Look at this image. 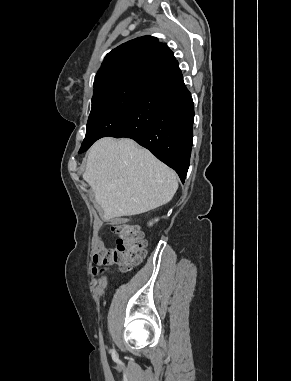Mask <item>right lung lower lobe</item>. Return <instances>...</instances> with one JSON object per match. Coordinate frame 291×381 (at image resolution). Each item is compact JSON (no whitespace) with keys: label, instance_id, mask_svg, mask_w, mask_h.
<instances>
[{"label":"right lung lower lobe","instance_id":"1","mask_svg":"<svg viewBox=\"0 0 291 381\" xmlns=\"http://www.w3.org/2000/svg\"><path fill=\"white\" fill-rule=\"evenodd\" d=\"M194 108L178 62L144 77L112 137H127L149 149L184 182L190 163Z\"/></svg>","mask_w":291,"mask_h":381}]
</instances>
